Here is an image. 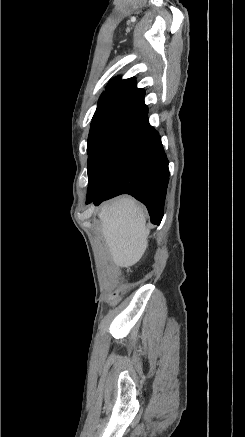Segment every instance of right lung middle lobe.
Instances as JSON below:
<instances>
[{
  "label": "right lung middle lobe",
  "instance_id": "right-lung-middle-lobe-1",
  "mask_svg": "<svg viewBox=\"0 0 245 437\" xmlns=\"http://www.w3.org/2000/svg\"><path fill=\"white\" fill-rule=\"evenodd\" d=\"M145 113L127 106L109 105L96 109L88 136V180L116 141L139 123Z\"/></svg>",
  "mask_w": 245,
  "mask_h": 437
}]
</instances>
